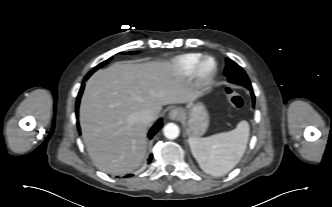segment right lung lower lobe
<instances>
[{"label":"right lung lower lobe","mask_w":332,"mask_h":207,"mask_svg":"<svg viewBox=\"0 0 332 207\" xmlns=\"http://www.w3.org/2000/svg\"><path fill=\"white\" fill-rule=\"evenodd\" d=\"M88 78H84V81H86ZM83 89H84V85H82L80 91H79V94H78V97H77V102H76V116L78 117V107H79V102H80V98H81V95H82V92H83ZM78 125V129H79V124ZM163 126L162 124V119H159L155 124L154 126L151 128L150 132H149V138H152L157 132L158 130ZM152 160V155L150 156V158L148 159V162H151Z\"/></svg>","instance_id":"obj_1"}]
</instances>
